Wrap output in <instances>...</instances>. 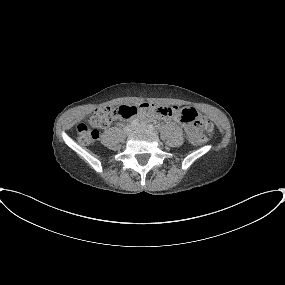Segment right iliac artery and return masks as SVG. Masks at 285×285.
<instances>
[{
	"mask_svg": "<svg viewBox=\"0 0 285 285\" xmlns=\"http://www.w3.org/2000/svg\"><path fill=\"white\" fill-rule=\"evenodd\" d=\"M131 124H132V126H135V125L138 124V122L137 121H133Z\"/></svg>",
	"mask_w": 285,
	"mask_h": 285,
	"instance_id": "obj_1",
	"label": "right iliac artery"
}]
</instances>
